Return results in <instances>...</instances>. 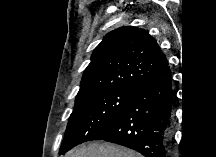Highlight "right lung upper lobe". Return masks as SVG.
<instances>
[{
  "mask_svg": "<svg viewBox=\"0 0 216 157\" xmlns=\"http://www.w3.org/2000/svg\"><path fill=\"white\" fill-rule=\"evenodd\" d=\"M167 65L156 40L144 29L131 26L115 29L93 51L76 99L97 91L133 88Z\"/></svg>",
  "mask_w": 216,
  "mask_h": 157,
  "instance_id": "obj_1",
  "label": "right lung upper lobe"
}]
</instances>
